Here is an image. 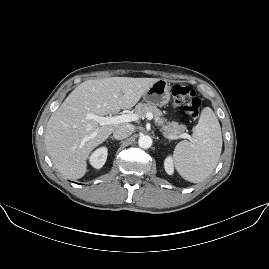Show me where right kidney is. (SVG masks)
Returning <instances> with one entry per match:
<instances>
[{
    "mask_svg": "<svg viewBox=\"0 0 269 269\" xmlns=\"http://www.w3.org/2000/svg\"><path fill=\"white\" fill-rule=\"evenodd\" d=\"M107 155L108 149L106 147L96 149L89 158L90 164L96 169L102 168L107 160Z\"/></svg>",
    "mask_w": 269,
    "mask_h": 269,
    "instance_id": "ca27d5eb",
    "label": "right kidney"
}]
</instances>
